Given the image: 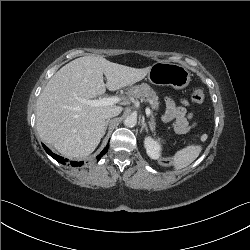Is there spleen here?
<instances>
[{
	"instance_id": "3e777b00",
	"label": "spleen",
	"mask_w": 250,
	"mask_h": 250,
	"mask_svg": "<svg viewBox=\"0 0 250 250\" xmlns=\"http://www.w3.org/2000/svg\"><path fill=\"white\" fill-rule=\"evenodd\" d=\"M201 151V145H190L177 151L172 160L174 168L180 170L187 167L199 156Z\"/></svg>"
}]
</instances>
